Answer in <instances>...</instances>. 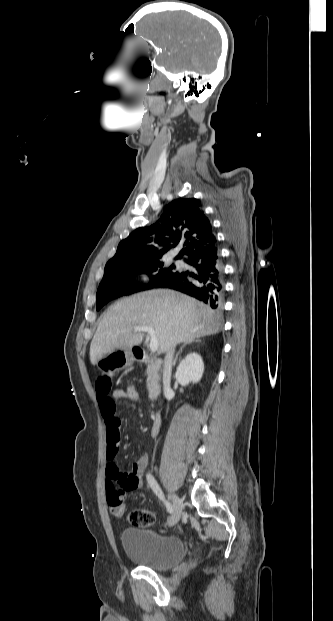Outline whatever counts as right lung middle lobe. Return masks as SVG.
<instances>
[{
    "instance_id": "1",
    "label": "right lung middle lobe",
    "mask_w": 333,
    "mask_h": 621,
    "mask_svg": "<svg viewBox=\"0 0 333 621\" xmlns=\"http://www.w3.org/2000/svg\"><path fill=\"white\" fill-rule=\"evenodd\" d=\"M175 271V266L173 265L164 268L160 258L106 265L103 279L97 290L96 309L99 310L107 302L115 298L159 287ZM137 274H148L153 284L136 286L133 282V277Z\"/></svg>"
}]
</instances>
